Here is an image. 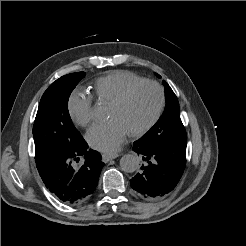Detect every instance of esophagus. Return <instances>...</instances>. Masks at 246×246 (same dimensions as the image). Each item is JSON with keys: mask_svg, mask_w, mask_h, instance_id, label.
Segmentation results:
<instances>
[{"mask_svg": "<svg viewBox=\"0 0 246 246\" xmlns=\"http://www.w3.org/2000/svg\"><path fill=\"white\" fill-rule=\"evenodd\" d=\"M117 157H118V155L115 154V153H103V154H102V160H103V162H105V163H107V162H109L110 160L115 159V158H117Z\"/></svg>", "mask_w": 246, "mask_h": 246, "instance_id": "1", "label": "esophagus"}]
</instances>
